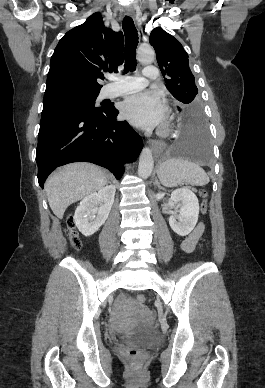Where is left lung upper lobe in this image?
Wrapping results in <instances>:
<instances>
[{
    "mask_svg": "<svg viewBox=\"0 0 265 388\" xmlns=\"http://www.w3.org/2000/svg\"><path fill=\"white\" fill-rule=\"evenodd\" d=\"M159 68L165 76L166 87L184 110L201 109L195 78L189 68L188 54L172 35L157 27L150 34Z\"/></svg>",
    "mask_w": 265,
    "mask_h": 388,
    "instance_id": "5c2ea615",
    "label": "left lung upper lobe"
}]
</instances>
